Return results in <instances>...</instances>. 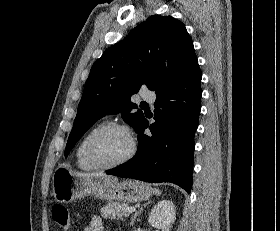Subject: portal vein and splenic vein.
Wrapping results in <instances>:
<instances>
[{
	"instance_id": "portal-vein-and-splenic-vein-1",
	"label": "portal vein and splenic vein",
	"mask_w": 280,
	"mask_h": 231,
	"mask_svg": "<svg viewBox=\"0 0 280 231\" xmlns=\"http://www.w3.org/2000/svg\"><path fill=\"white\" fill-rule=\"evenodd\" d=\"M123 211H130V213H132V211H134V207H124Z\"/></svg>"
}]
</instances>
